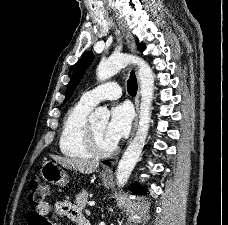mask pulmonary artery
Listing matches in <instances>:
<instances>
[{"label":"pulmonary artery","mask_w":228,"mask_h":225,"mask_svg":"<svg viewBox=\"0 0 228 225\" xmlns=\"http://www.w3.org/2000/svg\"><path fill=\"white\" fill-rule=\"evenodd\" d=\"M121 95L122 92L119 90V85H97V89L84 92L81 100L92 106H96L103 100H114Z\"/></svg>","instance_id":"pulmonary-artery-1"}]
</instances>
